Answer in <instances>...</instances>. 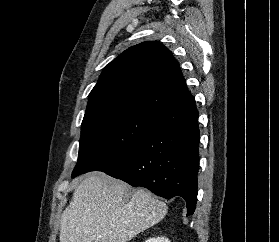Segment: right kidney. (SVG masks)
Segmentation results:
<instances>
[{
  "label": "right kidney",
  "instance_id": "obj_1",
  "mask_svg": "<svg viewBox=\"0 0 279 242\" xmlns=\"http://www.w3.org/2000/svg\"><path fill=\"white\" fill-rule=\"evenodd\" d=\"M145 242H170V241L164 237H156V238H150V239L146 240Z\"/></svg>",
  "mask_w": 279,
  "mask_h": 242
}]
</instances>
